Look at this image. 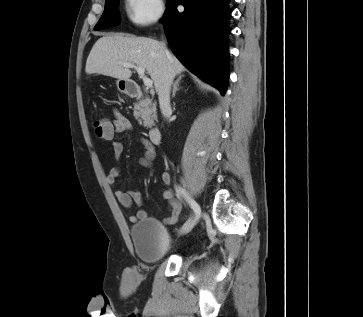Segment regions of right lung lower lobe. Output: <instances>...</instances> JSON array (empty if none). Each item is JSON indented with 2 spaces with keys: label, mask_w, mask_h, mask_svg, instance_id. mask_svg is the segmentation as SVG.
<instances>
[{
  "label": "right lung lower lobe",
  "mask_w": 363,
  "mask_h": 317,
  "mask_svg": "<svg viewBox=\"0 0 363 317\" xmlns=\"http://www.w3.org/2000/svg\"><path fill=\"white\" fill-rule=\"evenodd\" d=\"M229 0H172L163 22L176 57L222 95L228 79ZM182 4L184 12L177 10Z\"/></svg>",
  "instance_id": "obj_1"
}]
</instances>
